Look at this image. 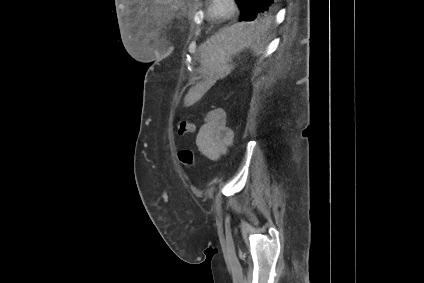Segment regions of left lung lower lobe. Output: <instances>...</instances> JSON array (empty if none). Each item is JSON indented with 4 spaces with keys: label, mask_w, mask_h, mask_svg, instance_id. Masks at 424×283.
<instances>
[{
    "label": "left lung lower lobe",
    "mask_w": 424,
    "mask_h": 283,
    "mask_svg": "<svg viewBox=\"0 0 424 283\" xmlns=\"http://www.w3.org/2000/svg\"><path fill=\"white\" fill-rule=\"evenodd\" d=\"M274 0H263L258 10L259 14L269 13L272 11V4Z\"/></svg>",
    "instance_id": "left-lung-lower-lobe-1"
}]
</instances>
